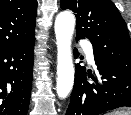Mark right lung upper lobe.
<instances>
[{
	"label": "right lung upper lobe",
	"mask_w": 131,
	"mask_h": 115,
	"mask_svg": "<svg viewBox=\"0 0 131 115\" xmlns=\"http://www.w3.org/2000/svg\"><path fill=\"white\" fill-rule=\"evenodd\" d=\"M37 0H0V51L34 38Z\"/></svg>",
	"instance_id": "right-lung-upper-lobe-1"
}]
</instances>
